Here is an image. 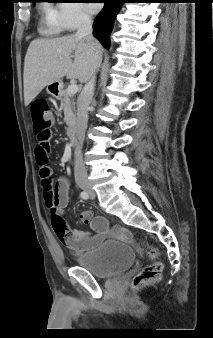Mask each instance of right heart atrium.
<instances>
[{
  "instance_id": "right-heart-atrium-1",
  "label": "right heart atrium",
  "mask_w": 213,
  "mask_h": 338,
  "mask_svg": "<svg viewBox=\"0 0 213 338\" xmlns=\"http://www.w3.org/2000/svg\"><path fill=\"white\" fill-rule=\"evenodd\" d=\"M56 19L66 29L74 30L90 22L91 17L80 2L65 0L56 8Z\"/></svg>"
}]
</instances>
